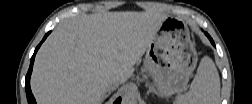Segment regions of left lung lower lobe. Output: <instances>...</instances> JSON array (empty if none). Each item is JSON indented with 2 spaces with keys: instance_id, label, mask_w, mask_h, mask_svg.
I'll use <instances>...</instances> for the list:
<instances>
[{
  "instance_id": "0a47b994",
  "label": "left lung lower lobe",
  "mask_w": 252,
  "mask_h": 104,
  "mask_svg": "<svg viewBox=\"0 0 252 104\" xmlns=\"http://www.w3.org/2000/svg\"><path fill=\"white\" fill-rule=\"evenodd\" d=\"M205 34H206V36L209 38V40L211 41V43L213 44V46H215V44H214L212 38L210 37V35H209L208 33H205Z\"/></svg>"
}]
</instances>
